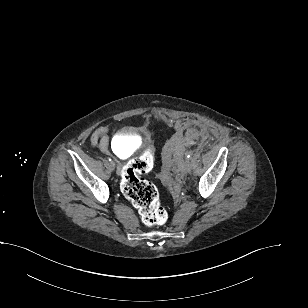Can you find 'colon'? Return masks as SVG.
<instances>
[{
    "instance_id": "colon-1",
    "label": "colon",
    "mask_w": 308,
    "mask_h": 308,
    "mask_svg": "<svg viewBox=\"0 0 308 308\" xmlns=\"http://www.w3.org/2000/svg\"><path fill=\"white\" fill-rule=\"evenodd\" d=\"M154 164L153 151L148 148L141 156L128 162L121 173V190L138 210L141 220L148 227L163 225L167 213L160 205L158 191L142 175L151 171Z\"/></svg>"
}]
</instances>
